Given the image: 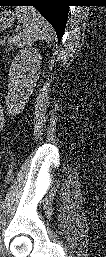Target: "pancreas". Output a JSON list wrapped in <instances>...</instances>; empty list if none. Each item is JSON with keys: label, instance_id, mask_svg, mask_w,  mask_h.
<instances>
[{"label": "pancreas", "instance_id": "1", "mask_svg": "<svg viewBox=\"0 0 106 257\" xmlns=\"http://www.w3.org/2000/svg\"><path fill=\"white\" fill-rule=\"evenodd\" d=\"M5 44H7V51H10L15 47H20L19 38L17 36L7 38V42L5 41V39L2 40L1 45L4 46Z\"/></svg>", "mask_w": 106, "mask_h": 257}]
</instances>
